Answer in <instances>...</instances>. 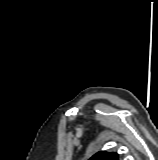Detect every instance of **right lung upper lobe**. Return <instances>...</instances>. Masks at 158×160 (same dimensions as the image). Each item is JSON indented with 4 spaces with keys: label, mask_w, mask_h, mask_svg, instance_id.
Here are the masks:
<instances>
[{
    "label": "right lung upper lobe",
    "mask_w": 158,
    "mask_h": 160,
    "mask_svg": "<svg viewBox=\"0 0 158 160\" xmlns=\"http://www.w3.org/2000/svg\"><path fill=\"white\" fill-rule=\"evenodd\" d=\"M89 160H119L118 154L111 152L107 153L106 151H100Z\"/></svg>",
    "instance_id": "right-lung-upper-lobe-1"
}]
</instances>
